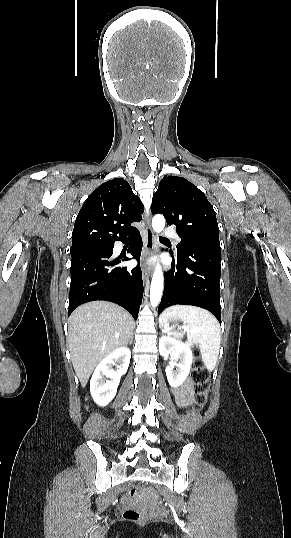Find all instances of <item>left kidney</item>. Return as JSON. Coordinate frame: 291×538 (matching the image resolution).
Here are the masks:
<instances>
[{
  "label": "left kidney",
  "instance_id": "left-kidney-1",
  "mask_svg": "<svg viewBox=\"0 0 291 538\" xmlns=\"http://www.w3.org/2000/svg\"><path fill=\"white\" fill-rule=\"evenodd\" d=\"M159 352L163 357L173 356L174 362L170 363L165 371L169 384L172 387H179L189 375L193 353L190 344L183 343L170 336H162L159 339ZM177 361H179L177 363ZM174 367H177L174 370Z\"/></svg>",
  "mask_w": 291,
  "mask_h": 538
}]
</instances>
